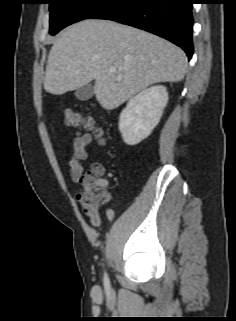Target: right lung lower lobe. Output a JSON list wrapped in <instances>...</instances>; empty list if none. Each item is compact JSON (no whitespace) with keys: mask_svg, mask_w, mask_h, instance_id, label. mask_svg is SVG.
Segmentation results:
<instances>
[{"mask_svg":"<svg viewBox=\"0 0 236 321\" xmlns=\"http://www.w3.org/2000/svg\"><path fill=\"white\" fill-rule=\"evenodd\" d=\"M192 0H110L89 18L113 20L146 30L181 47L191 59Z\"/></svg>","mask_w":236,"mask_h":321,"instance_id":"right-lung-lower-lobe-1","label":"right lung lower lobe"}]
</instances>
